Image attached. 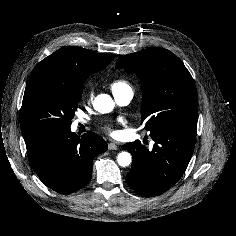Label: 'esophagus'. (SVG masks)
I'll return each mask as SVG.
<instances>
[{
	"label": "esophagus",
	"instance_id": "esophagus-1",
	"mask_svg": "<svg viewBox=\"0 0 236 236\" xmlns=\"http://www.w3.org/2000/svg\"><path fill=\"white\" fill-rule=\"evenodd\" d=\"M118 147H117V145H116V143H114V142H110L109 144H108V149L109 150H116Z\"/></svg>",
	"mask_w": 236,
	"mask_h": 236
}]
</instances>
